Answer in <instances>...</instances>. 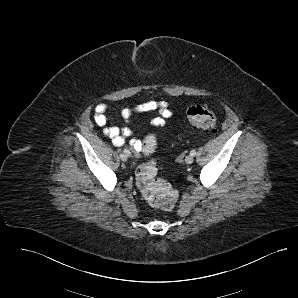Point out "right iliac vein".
Masks as SVG:
<instances>
[{"label": "right iliac vein", "instance_id": "1", "mask_svg": "<svg viewBox=\"0 0 298 298\" xmlns=\"http://www.w3.org/2000/svg\"><path fill=\"white\" fill-rule=\"evenodd\" d=\"M120 158L122 161H127L128 156L125 153H121Z\"/></svg>", "mask_w": 298, "mask_h": 298}]
</instances>
